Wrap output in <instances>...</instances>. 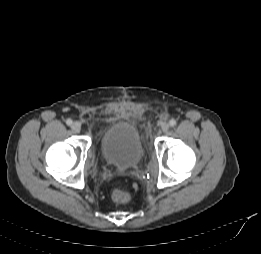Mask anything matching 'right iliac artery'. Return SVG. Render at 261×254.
Listing matches in <instances>:
<instances>
[{
  "label": "right iliac artery",
  "instance_id": "obj_1",
  "mask_svg": "<svg viewBox=\"0 0 261 254\" xmlns=\"http://www.w3.org/2000/svg\"><path fill=\"white\" fill-rule=\"evenodd\" d=\"M66 124L69 125V126H71V125H72V120H71V119H67V120H66Z\"/></svg>",
  "mask_w": 261,
  "mask_h": 254
}]
</instances>
